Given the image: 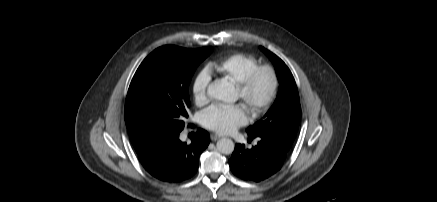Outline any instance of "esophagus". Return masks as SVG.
I'll use <instances>...</instances> for the list:
<instances>
[{"instance_id":"1","label":"esophagus","mask_w":437,"mask_h":202,"mask_svg":"<svg viewBox=\"0 0 437 202\" xmlns=\"http://www.w3.org/2000/svg\"><path fill=\"white\" fill-rule=\"evenodd\" d=\"M210 138H211L212 141H217L221 137L219 135H217V134H211Z\"/></svg>"}]
</instances>
